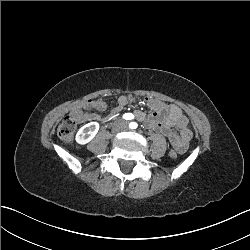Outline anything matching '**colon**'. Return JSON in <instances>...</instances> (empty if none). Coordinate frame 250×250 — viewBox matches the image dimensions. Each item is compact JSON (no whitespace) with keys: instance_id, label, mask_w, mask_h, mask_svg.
Here are the masks:
<instances>
[{"instance_id":"1","label":"colon","mask_w":250,"mask_h":250,"mask_svg":"<svg viewBox=\"0 0 250 250\" xmlns=\"http://www.w3.org/2000/svg\"><path fill=\"white\" fill-rule=\"evenodd\" d=\"M77 128V120L72 116H66L57 128V135L63 142H71L74 139ZM178 147L170 150V159L176 160L179 156Z\"/></svg>"}]
</instances>
